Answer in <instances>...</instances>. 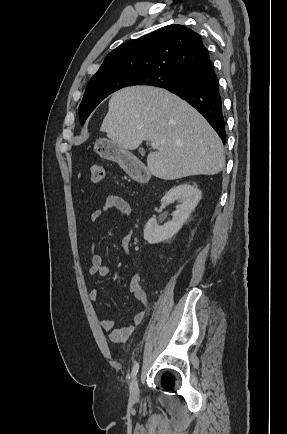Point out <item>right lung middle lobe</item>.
Wrapping results in <instances>:
<instances>
[{"instance_id":"right-lung-middle-lobe-1","label":"right lung middle lobe","mask_w":287,"mask_h":434,"mask_svg":"<svg viewBox=\"0 0 287 434\" xmlns=\"http://www.w3.org/2000/svg\"><path fill=\"white\" fill-rule=\"evenodd\" d=\"M179 75L163 73H144L138 76H115L102 80L90 81L86 87L84 98L79 106V118L83 124L96 106L113 92L132 85H152L167 87L174 84Z\"/></svg>"}]
</instances>
